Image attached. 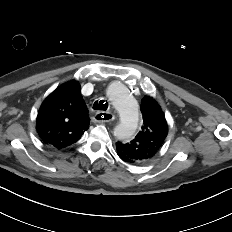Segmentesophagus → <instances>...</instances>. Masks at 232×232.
Returning a JSON list of instances; mask_svg holds the SVG:
<instances>
[{
    "instance_id": "1",
    "label": "esophagus",
    "mask_w": 232,
    "mask_h": 232,
    "mask_svg": "<svg viewBox=\"0 0 232 232\" xmlns=\"http://www.w3.org/2000/svg\"><path fill=\"white\" fill-rule=\"evenodd\" d=\"M93 120L99 123L110 122L114 120V115L111 112L99 111L93 116Z\"/></svg>"
}]
</instances>
